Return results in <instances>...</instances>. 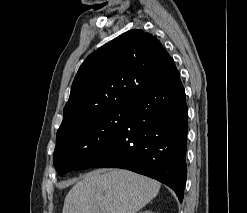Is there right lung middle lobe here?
Listing matches in <instances>:
<instances>
[{"instance_id": "1", "label": "right lung middle lobe", "mask_w": 247, "mask_h": 213, "mask_svg": "<svg viewBox=\"0 0 247 213\" xmlns=\"http://www.w3.org/2000/svg\"><path fill=\"white\" fill-rule=\"evenodd\" d=\"M131 112V102L125 100L57 136L53 163L58 174L95 165Z\"/></svg>"}]
</instances>
